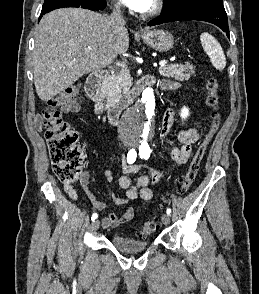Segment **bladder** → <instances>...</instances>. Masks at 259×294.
<instances>
[{"mask_svg": "<svg viewBox=\"0 0 259 294\" xmlns=\"http://www.w3.org/2000/svg\"><path fill=\"white\" fill-rule=\"evenodd\" d=\"M111 243L116 249L126 253L144 251L149 245L148 241L137 240L123 234H114Z\"/></svg>", "mask_w": 259, "mask_h": 294, "instance_id": "obj_1", "label": "bladder"}]
</instances>
